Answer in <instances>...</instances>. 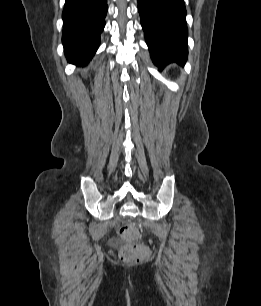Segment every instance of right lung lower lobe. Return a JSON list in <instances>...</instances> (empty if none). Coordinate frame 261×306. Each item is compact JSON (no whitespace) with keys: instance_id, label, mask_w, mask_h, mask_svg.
Listing matches in <instances>:
<instances>
[{"instance_id":"98d812e1","label":"right lung lower lobe","mask_w":261,"mask_h":306,"mask_svg":"<svg viewBox=\"0 0 261 306\" xmlns=\"http://www.w3.org/2000/svg\"><path fill=\"white\" fill-rule=\"evenodd\" d=\"M107 0H66L62 42L70 63L86 64L97 51L105 26Z\"/></svg>"}]
</instances>
